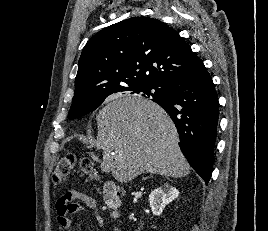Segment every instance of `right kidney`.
<instances>
[{"mask_svg": "<svg viewBox=\"0 0 268 231\" xmlns=\"http://www.w3.org/2000/svg\"><path fill=\"white\" fill-rule=\"evenodd\" d=\"M179 196V191L169 184H164L154 189L149 195V202L152 213L156 216L161 215L166 205L171 203Z\"/></svg>", "mask_w": 268, "mask_h": 231, "instance_id": "obj_1", "label": "right kidney"}]
</instances>
